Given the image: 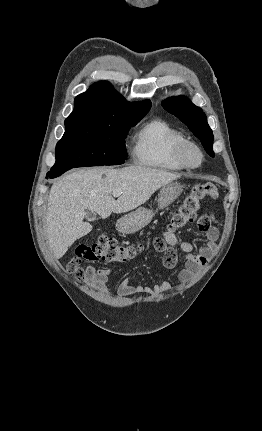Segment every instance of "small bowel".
<instances>
[{
	"instance_id": "1",
	"label": "small bowel",
	"mask_w": 262,
	"mask_h": 431,
	"mask_svg": "<svg viewBox=\"0 0 262 431\" xmlns=\"http://www.w3.org/2000/svg\"><path fill=\"white\" fill-rule=\"evenodd\" d=\"M215 224L216 217L212 213L205 215V218L200 222L198 229L205 236L206 244L197 253L195 252L193 245L188 242L180 241L174 233L165 234V241L169 245L170 250L165 251L163 254L164 266L167 269H174L177 266V248L185 254V264L178 273V279L181 283L190 282L207 264L212 251L215 249L218 238ZM110 274V269L87 266L85 272L78 276V279L86 286L98 289L104 294H107ZM172 286L173 283L170 280H164L154 285H134L129 279H124L119 284V292L122 295H134L140 293L150 296L153 294L164 293Z\"/></svg>"
}]
</instances>
